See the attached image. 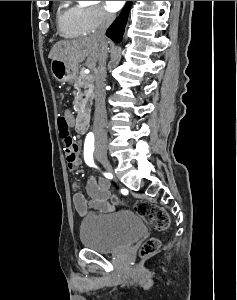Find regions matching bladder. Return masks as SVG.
Returning <instances> with one entry per match:
<instances>
[{
  "instance_id": "31cf9c89",
  "label": "bladder",
  "mask_w": 237,
  "mask_h": 300,
  "mask_svg": "<svg viewBox=\"0 0 237 300\" xmlns=\"http://www.w3.org/2000/svg\"><path fill=\"white\" fill-rule=\"evenodd\" d=\"M145 233L138 214L121 210L110 215L87 217L80 226L82 245L100 253H115L131 246Z\"/></svg>"
}]
</instances>
